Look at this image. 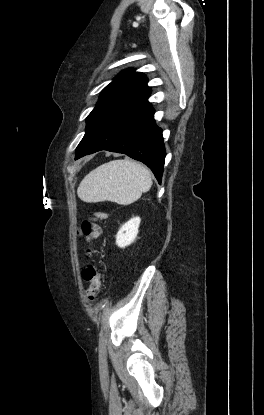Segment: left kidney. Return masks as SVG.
<instances>
[{
    "mask_svg": "<svg viewBox=\"0 0 264 415\" xmlns=\"http://www.w3.org/2000/svg\"><path fill=\"white\" fill-rule=\"evenodd\" d=\"M140 222V217H134L121 226L116 234V244L118 247L125 248L134 242L138 234Z\"/></svg>",
    "mask_w": 264,
    "mask_h": 415,
    "instance_id": "1",
    "label": "left kidney"
}]
</instances>
